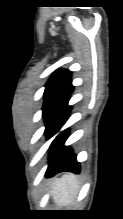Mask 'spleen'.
<instances>
[{
  "label": "spleen",
  "mask_w": 123,
  "mask_h": 219,
  "mask_svg": "<svg viewBox=\"0 0 123 219\" xmlns=\"http://www.w3.org/2000/svg\"><path fill=\"white\" fill-rule=\"evenodd\" d=\"M78 178L72 174H64L52 184V196L60 206H69L73 203L79 191Z\"/></svg>",
  "instance_id": "1"
}]
</instances>
